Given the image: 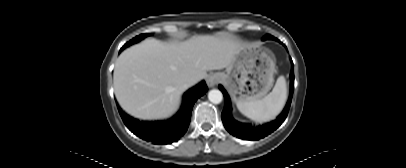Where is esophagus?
<instances>
[{
    "instance_id": "34e87169",
    "label": "esophagus",
    "mask_w": 406,
    "mask_h": 168,
    "mask_svg": "<svg viewBox=\"0 0 406 168\" xmlns=\"http://www.w3.org/2000/svg\"><path fill=\"white\" fill-rule=\"evenodd\" d=\"M219 80H220L219 75L213 73L207 77L206 82H207L208 87L212 88L218 84Z\"/></svg>"
}]
</instances>
